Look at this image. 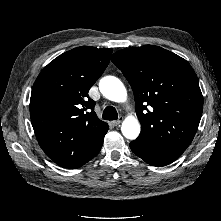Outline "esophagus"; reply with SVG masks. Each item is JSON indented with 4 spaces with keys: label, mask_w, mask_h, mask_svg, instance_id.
Instances as JSON below:
<instances>
[{
    "label": "esophagus",
    "mask_w": 221,
    "mask_h": 221,
    "mask_svg": "<svg viewBox=\"0 0 221 221\" xmlns=\"http://www.w3.org/2000/svg\"><path fill=\"white\" fill-rule=\"evenodd\" d=\"M122 121H123V117H119L118 120L113 121V125L114 126H118V125H120L122 123Z\"/></svg>",
    "instance_id": "34e87169"
}]
</instances>
